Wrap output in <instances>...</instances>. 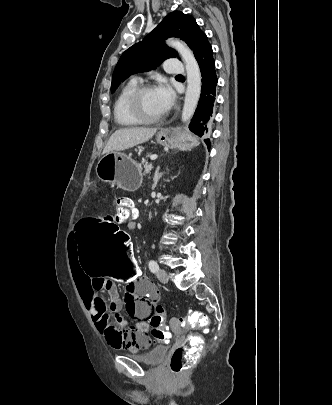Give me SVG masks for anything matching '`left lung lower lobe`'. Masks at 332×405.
<instances>
[{
  "mask_svg": "<svg viewBox=\"0 0 332 405\" xmlns=\"http://www.w3.org/2000/svg\"><path fill=\"white\" fill-rule=\"evenodd\" d=\"M199 68L202 75L201 97L189 125V128L198 136L207 135L213 122L217 77L215 73V61L210 44L204 47L197 57ZM208 148L210 147L209 139H204Z\"/></svg>",
  "mask_w": 332,
  "mask_h": 405,
  "instance_id": "1",
  "label": "left lung lower lobe"
}]
</instances>
